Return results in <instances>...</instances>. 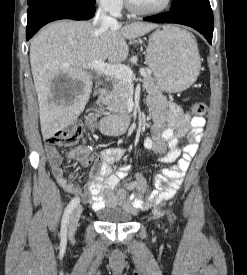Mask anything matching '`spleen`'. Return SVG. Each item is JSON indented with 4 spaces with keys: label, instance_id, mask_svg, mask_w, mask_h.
Segmentation results:
<instances>
[{
    "label": "spleen",
    "instance_id": "1",
    "mask_svg": "<svg viewBox=\"0 0 247 275\" xmlns=\"http://www.w3.org/2000/svg\"><path fill=\"white\" fill-rule=\"evenodd\" d=\"M188 38L194 43V45L197 47L196 41L192 38V35L188 34Z\"/></svg>",
    "mask_w": 247,
    "mask_h": 275
}]
</instances>
